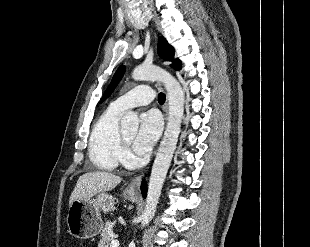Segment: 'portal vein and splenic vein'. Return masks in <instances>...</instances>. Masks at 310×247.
Segmentation results:
<instances>
[{"label":"portal vein and splenic vein","instance_id":"1","mask_svg":"<svg viewBox=\"0 0 310 247\" xmlns=\"http://www.w3.org/2000/svg\"><path fill=\"white\" fill-rule=\"evenodd\" d=\"M110 247H119V241L118 240H112Z\"/></svg>","mask_w":310,"mask_h":247}]
</instances>
